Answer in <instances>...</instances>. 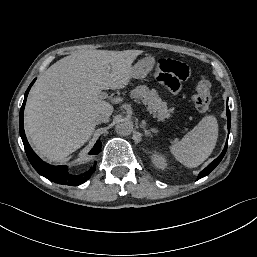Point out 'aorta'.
I'll return each instance as SVG.
<instances>
[{
  "label": "aorta",
  "mask_w": 257,
  "mask_h": 257,
  "mask_svg": "<svg viewBox=\"0 0 257 257\" xmlns=\"http://www.w3.org/2000/svg\"><path fill=\"white\" fill-rule=\"evenodd\" d=\"M117 134L121 136L130 135L133 130V123L129 119H121L115 126Z\"/></svg>",
  "instance_id": "aorta-1"
}]
</instances>
